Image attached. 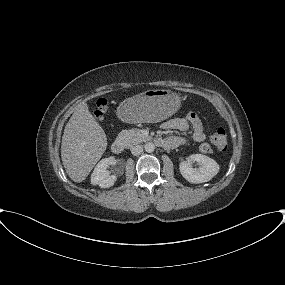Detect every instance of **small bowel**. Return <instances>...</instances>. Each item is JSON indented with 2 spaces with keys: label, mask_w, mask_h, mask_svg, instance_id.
<instances>
[{
  "label": "small bowel",
  "mask_w": 285,
  "mask_h": 285,
  "mask_svg": "<svg viewBox=\"0 0 285 285\" xmlns=\"http://www.w3.org/2000/svg\"><path fill=\"white\" fill-rule=\"evenodd\" d=\"M162 128L165 130H178L181 132L191 131L189 136H170L166 138L164 140V147L166 148L171 149L179 147L185 144L188 140L201 143L206 139L202 121L194 112H190L186 117L170 119L162 124Z\"/></svg>",
  "instance_id": "c3829d8e"
}]
</instances>
